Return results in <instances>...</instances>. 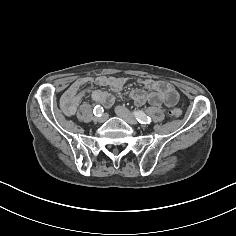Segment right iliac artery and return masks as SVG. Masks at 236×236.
<instances>
[{
	"label": "right iliac artery",
	"mask_w": 236,
	"mask_h": 236,
	"mask_svg": "<svg viewBox=\"0 0 236 236\" xmlns=\"http://www.w3.org/2000/svg\"><path fill=\"white\" fill-rule=\"evenodd\" d=\"M93 112H94V115H95V116L100 117V116H102V114H103V112H104V109H103V107H101L100 105H97V106H95Z\"/></svg>",
	"instance_id": "right-iliac-artery-1"
}]
</instances>
